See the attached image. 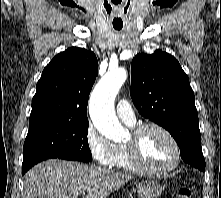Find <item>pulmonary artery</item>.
<instances>
[{
	"instance_id": "obj_1",
	"label": "pulmonary artery",
	"mask_w": 221,
	"mask_h": 198,
	"mask_svg": "<svg viewBox=\"0 0 221 198\" xmlns=\"http://www.w3.org/2000/svg\"><path fill=\"white\" fill-rule=\"evenodd\" d=\"M116 111L119 118L127 125H133L135 123L136 118L134 111L127 100H119L116 105Z\"/></svg>"
}]
</instances>
